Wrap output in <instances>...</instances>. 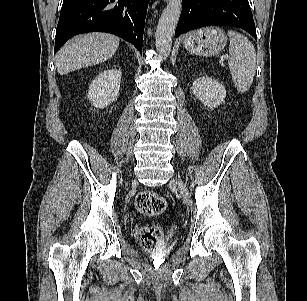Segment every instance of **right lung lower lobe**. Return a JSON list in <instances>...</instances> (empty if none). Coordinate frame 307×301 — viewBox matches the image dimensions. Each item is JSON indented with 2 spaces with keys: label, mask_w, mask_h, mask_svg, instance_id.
<instances>
[{
  "label": "right lung lower lobe",
  "mask_w": 307,
  "mask_h": 301,
  "mask_svg": "<svg viewBox=\"0 0 307 301\" xmlns=\"http://www.w3.org/2000/svg\"><path fill=\"white\" fill-rule=\"evenodd\" d=\"M150 0H63L56 29L55 52L71 37L93 31L115 34L142 53Z\"/></svg>",
  "instance_id": "98d812e1"
}]
</instances>
